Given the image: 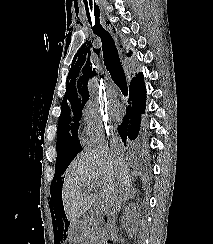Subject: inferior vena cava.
Wrapping results in <instances>:
<instances>
[{"label": "inferior vena cava", "instance_id": "602c4592", "mask_svg": "<svg viewBox=\"0 0 213 244\" xmlns=\"http://www.w3.org/2000/svg\"><path fill=\"white\" fill-rule=\"evenodd\" d=\"M113 142H118L119 138L118 137H113L112 138ZM114 147V151L118 152L119 149L117 148L116 144H113ZM116 190L118 189L117 187L115 188ZM122 202V194L121 191H117L115 192L112 196H110L109 198H107L105 200V206L108 212L109 217H114V215L116 214V212L118 211L120 205Z\"/></svg>", "mask_w": 213, "mask_h": 244}]
</instances>
